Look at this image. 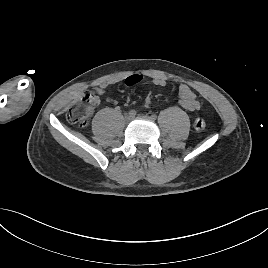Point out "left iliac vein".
Segmentation results:
<instances>
[{"label": "left iliac vein", "instance_id": "left-iliac-vein-1", "mask_svg": "<svg viewBox=\"0 0 268 268\" xmlns=\"http://www.w3.org/2000/svg\"><path fill=\"white\" fill-rule=\"evenodd\" d=\"M139 118H143V119H152L151 117L147 116V115H139Z\"/></svg>", "mask_w": 268, "mask_h": 268}]
</instances>
